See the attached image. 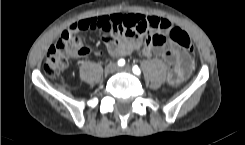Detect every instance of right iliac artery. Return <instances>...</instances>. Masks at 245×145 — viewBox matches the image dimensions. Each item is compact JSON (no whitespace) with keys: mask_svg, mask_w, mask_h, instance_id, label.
<instances>
[{"mask_svg":"<svg viewBox=\"0 0 245 145\" xmlns=\"http://www.w3.org/2000/svg\"><path fill=\"white\" fill-rule=\"evenodd\" d=\"M124 64H125V60H124V59H120V60L118 61V65H119V66H124Z\"/></svg>","mask_w":245,"mask_h":145,"instance_id":"82829eb1","label":"right iliac artery"}]
</instances>
